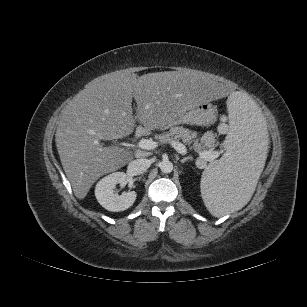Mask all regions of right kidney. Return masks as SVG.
Returning <instances> with one entry per match:
<instances>
[{
	"label": "right kidney",
	"instance_id": "1",
	"mask_svg": "<svg viewBox=\"0 0 307 307\" xmlns=\"http://www.w3.org/2000/svg\"><path fill=\"white\" fill-rule=\"evenodd\" d=\"M126 173L114 172L102 178L95 187V196L99 204L112 212L124 211L131 207L136 200L135 191L123 192L121 195L114 193L116 184L126 181Z\"/></svg>",
	"mask_w": 307,
	"mask_h": 307
}]
</instances>
